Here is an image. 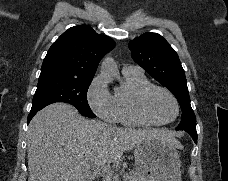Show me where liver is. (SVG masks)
Wrapping results in <instances>:
<instances>
[{"label":"liver","mask_w":228,"mask_h":181,"mask_svg":"<svg viewBox=\"0 0 228 181\" xmlns=\"http://www.w3.org/2000/svg\"><path fill=\"white\" fill-rule=\"evenodd\" d=\"M151 135L167 139L176 149L183 145L169 131L117 129L101 121H86L75 107L53 103L28 125V181H82L89 169L121 161Z\"/></svg>","instance_id":"6515ba94"}]
</instances>
